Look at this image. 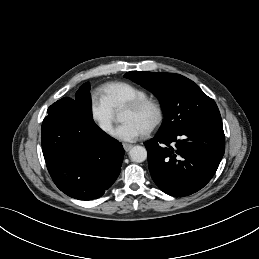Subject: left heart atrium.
<instances>
[{"mask_svg":"<svg viewBox=\"0 0 259 259\" xmlns=\"http://www.w3.org/2000/svg\"><path fill=\"white\" fill-rule=\"evenodd\" d=\"M112 134L118 139L124 141H133L142 134V131L133 122L123 121L114 129Z\"/></svg>","mask_w":259,"mask_h":259,"instance_id":"1","label":"left heart atrium"}]
</instances>
